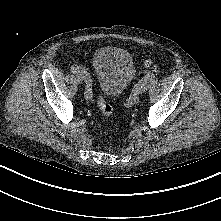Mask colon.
<instances>
[{"instance_id":"obj_1","label":"colon","mask_w":221,"mask_h":221,"mask_svg":"<svg viewBox=\"0 0 221 221\" xmlns=\"http://www.w3.org/2000/svg\"><path fill=\"white\" fill-rule=\"evenodd\" d=\"M98 105L102 115L109 119L113 114V108L102 95L98 97Z\"/></svg>"}]
</instances>
